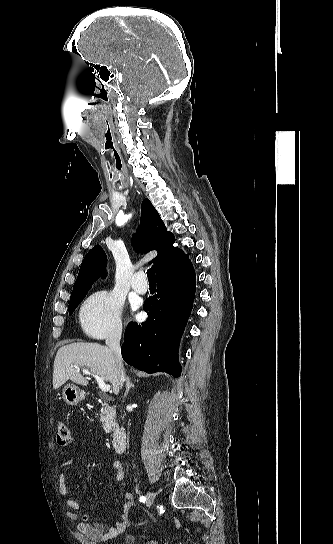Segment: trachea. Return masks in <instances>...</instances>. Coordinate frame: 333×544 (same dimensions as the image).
Returning <instances> with one entry per match:
<instances>
[{"label": "trachea", "instance_id": "trachea-1", "mask_svg": "<svg viewBox=\"0 0 333 544\" xmlns=\"http://www.w3.org/2000/svg\"><path fill=\"white\" fill-rule=\"evenodd\" d=\"M147 276H148L149 282H154V283L156 282L154 266L150 267L147 270Z\"/></svg>", "mask_w": 333, "mask_h": 544}]
</instances>
